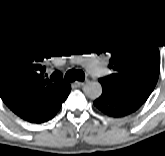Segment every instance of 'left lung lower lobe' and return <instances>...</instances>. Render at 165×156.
Here are the masks:
<instances>
[{"mask_svg": "<svg viewBox=\"0 0 165 156\" xmlns=\"http://www.w3.org/2000/svg\"><path fill=\"white\" fill-rule=\"evenodd\" d=\"M102 95L93 104L104 114L111 117H123L138 110L141 105L120 94L112 85L99 79Z\"/></svg>", "mask_w": 165, "mask_h": 156, "instance_id": "obj_1", "label": "left lung lower lobe"}]
</instances>
